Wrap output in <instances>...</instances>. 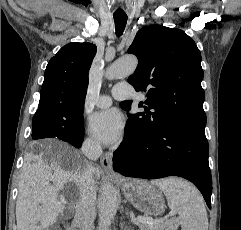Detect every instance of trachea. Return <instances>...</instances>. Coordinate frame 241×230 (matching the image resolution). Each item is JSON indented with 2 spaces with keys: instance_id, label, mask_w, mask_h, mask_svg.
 I'll return each mask as SVG.
<instances>
[{
  "instance_id": "obj_1",
  "label": "trachea",
  "mask_w": 241,
  "mask_h": 230,
  "mask_svg": "<svg viewBox=\"0 0 241 230\" xmlns=\"http://www.w3.org/2000/svg\"><path fill=\"white\" fill-rule=\"evenodd\" d=\"M114 22H115V29H116V35L121 36L124 32L126 23H127V15L126 14H120V13H114Z\"/></svg>"
}]
</instances>
